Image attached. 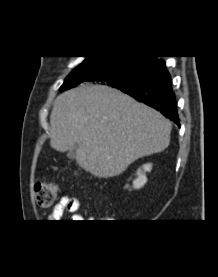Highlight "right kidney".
I'll use <instances>...</instances> for the list:
<instances>
[{
    "mask_svg": "<svg viewBox=\"0 0 218 277\" xmlns=\"http://www.w3.org/2000/svg\"><path fill=\"white\" fill-rule=\"evenodd\" d=\"M152 169V164L143 165L142 169H138L136 172L137 178L133 181V187L139 189L143 187L147 182L146 172H150Z\"/></svg>",
    "mask_w": 218,
    "mask_h": 277,
    "instance_id": "obj_1",
    "label": "right kidney"
}]
</instances>
